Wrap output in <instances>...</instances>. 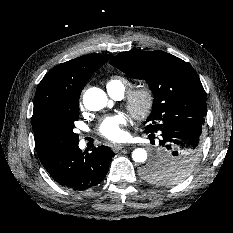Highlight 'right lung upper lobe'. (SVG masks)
Here are the masks:
<instances>
[{"label":"right lung upper lobe","instance_id":"1","mask_svg":"<svg viewBox=\"0 0 233 233\" xmlns=\"http://www.w3.org/2000/svg\"><path fill=\"white\" fill-rule=\"evenodd\" d=\"M112 55L89 54L53 67L39 83L32 116L35 130L40 116L50 110L78 104L79 96L94 71Z\"/></svg>","mask_w":233,"mask_h":233}]
</instances>
